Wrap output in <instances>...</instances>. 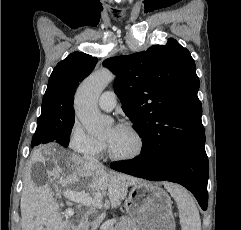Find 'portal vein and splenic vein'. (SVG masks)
<instances>
[{
	"label": "portal vein and splenic vein",
	"mask_w": 241,
	"mask_h": 230,
	"mask_svg": "<svg viewBox=\"0 0 241 230\" xmlns=\"http://www.w3.org/2000/svg\"><path fill=\"white\" fill-rule=\"evenodd\" d=\"M63 194L69 200L82 204L87 207H89L91 205L96 206L97 204L100 203V200H92L86 193H83V192L70 193L68 195H66L65 193H63ZM115 222H116V220H114V219L109 220L102 225V228L106 229V228L114 225Z\"/></svg>",
	"instance_id": "1"
}]
</instances>
